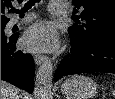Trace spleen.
Instances as JSON below:
<instances>
[{"instance_id":"spleen-1","label":"spleen","mask_w":115,"mask_h":99,"mask_svg":"<svg viewBox=\"0 0 115 99\" xmlns=\"http://www.w3.org/2000/svg\"><path fill=\"white\" fill-rule=\"evenodd\" d=\"M113 95H114V97H115V90L113 91Z\"/></svg>"}]
</instances>
